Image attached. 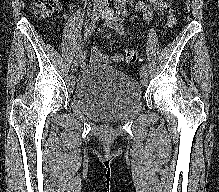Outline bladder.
<instances>
[{"label": "bladder", "mask_w": 219, "mask_h": 192, "mask_svg": "<svg viewBox=\"0 0 219 192\" xmlns=\"http://www.w3.org/2000/svg\"><path fill=\"white\" fill-rule=\"evenodd\" d=\"M69 100L96 122L124 120L143 104L142 86L120 69L90 63L78 75Z\"/></svg>", "instance_id": "obj_1"}]
</instances>
